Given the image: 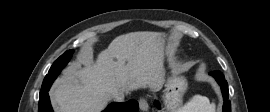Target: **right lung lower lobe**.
<instances>
[{
    "mask_svg": "<svg viewBox=\"0 0 270 112\" xmlns=\"http://www.w3.org/2000/svg\"><path fill=\"white\" fill-rule=\"evenodd\" d=\"M55 79L52 77H46L43 80L40 95H39V107L38 112H53L48 91L52 82ZM138 103L134 99H131L124 103H111L103 112H137Z\"/></svg>",
    "mask_w": 270,
    "mask_h": 112,
    "instance_id": "right-lung-lower-lobe-1",
    "label": "right lung lower lobe"
}]
</instances>
